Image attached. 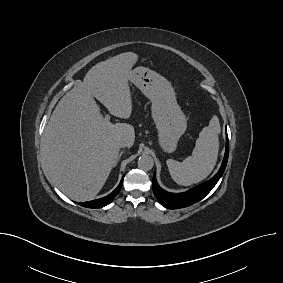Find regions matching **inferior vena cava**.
Instances as JSON below:
<instances>
[{"label":"inferior vena cava","mask_w":283,"mask_h":283,"mask_svg":"<svg viewBox=\"0 0 283 283\" xmlns=\"http://www.w3.org/2000/svg\"><path fill=\"white\" fill-rule=\"evenodd\" d=\"M118 146H119L120 148H124V147H127V146H128V143H127V141L122 140V141H120V142L118 143Z\"/></svg>","instance_id":"inferior-vena-cava-1"}]
</instances>
